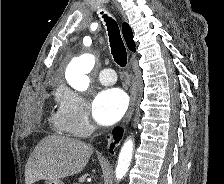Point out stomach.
<instances>
[{"label":"stomach","mask_w":224,"mask_h":184,"mask_svg":"<svg viewBox=\"0 0 224 184\" xmlns=\"http://www.w3.org/2000/svg\"><path fill=\"white\" fill-rule=\"evenodd\" d=\"M45 184H64V182L60 179L57 180H46Z\"/></svg>","instance_id":"obj_1"}]
</instances>
